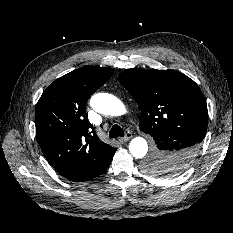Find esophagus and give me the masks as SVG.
Listing matches in <instances>:
<instances>
[{
  "instance_id": "34e87169",
  "label": "esophagus",
  "mask_w": 233,
  "mask_h": 233,
  "mask_svg": "<svg viewBox=\"0 0 233 233\" xmlns=\"http://www.w3.org/2000/svg\"><path fill=\"white\" fill-rule=\"evenodd\" d=\"M131 138H132V133L128 131V132L126 133L125 137L119 138V141H120L121 143H124V142L129 141Z\"/></svg>"
}]
</instances>
